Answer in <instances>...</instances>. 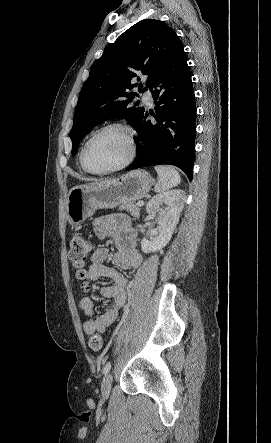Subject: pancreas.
<instances>
[{
	"label": "pancreas",
	"instance_id": "cf45deb5",
	"mask_svg": "<svg viewBox=\"0 0 271 443\" xmlns=\"http://www.w3.org/2000/svg\"><path fill=\"white\" fill-rule=\"evenodd\" d=\"M119 210H126L133 218H139L140 216V208H138L135 202H124L122 206H119Z\"/></svg>",
	"mask_w": 271,
	"mask_h": 443
}]
</instances>
